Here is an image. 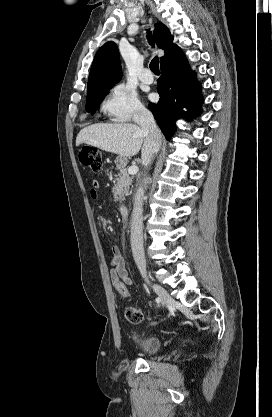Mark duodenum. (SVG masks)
<instances>
[{"label":"duodenum","instance_id":"410a0bca","mask_svg":"<svg viewBox=\"0 0 272 417\" xmlns=\"http://www.w3.org/2000/svg\"><path fill=\"white\" fill-rule=\"evenodd\" d=\"M120 213H121V215H122V217L124 219H127L128 216H129V209H128V207L126 205H124V204L121 205L120 206Z\"/></svg>","mask_w":272,"mask_h":417}]
</instances>
